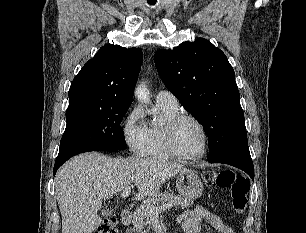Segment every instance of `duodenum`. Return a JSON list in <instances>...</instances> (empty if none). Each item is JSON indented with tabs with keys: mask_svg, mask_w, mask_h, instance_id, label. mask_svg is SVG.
Here are the masks:
<instances>
[{
	"mask_svg": "<svg viewBox=\"0 0 306 233\" xmlns=\"http://www.w3.org/2000/svg\"><path fill=\"white\" fill-rule=\"evenodd\" d=\"M132 217V212L129 209H124L120 215L122 224L128 226L132 222Z\"/></svg>",
	"mask_w": 306,
	"mask_h": 233,
	"instance_id": "obj_1",
	"label": "duodenum"
}]
</instances>
